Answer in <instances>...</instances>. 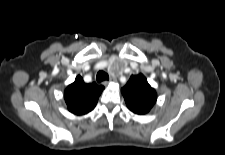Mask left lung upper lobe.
<instances>
[{"label":"left lung upper lobe","instance_id":"1","mask_svg":"<svg viewBox=\"0 0 225 155\" xmlns=\"http://www.w3.org/2000/svg\"><path fill=\"white\" fill-rule=\"evenodd\" d=\"M121 92L128 109L140 115L148 113L157 100L155 89L142 74L132 75Z\"/></svg>","mask_w":225,"mask_h":155}]
</instances>
